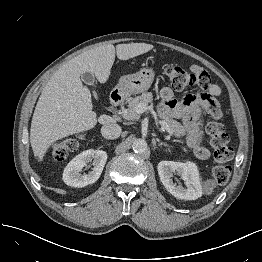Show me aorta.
Masks as SVG:
<instances>
[{"label": "aorta", "instance_id": "obj_1", "mask_svg": "<svg viewBox=\"0 0 262 262\" xmlns=\"http://www.w3.org/2000/svg\"><path fill=\"white\" fill-rule=\"evenodd\" d=\"M132 149L135 153L143 154L148 150L147 142L142 138L135 139Z\"/></svg>", "mask_w": 262, "mask_h": 262}]
</instances>
